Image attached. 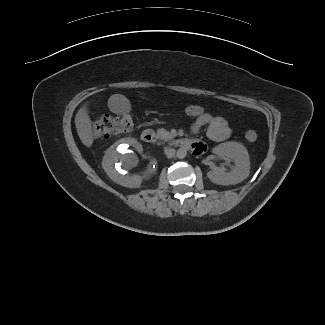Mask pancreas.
Here are the masks:
<instances>
[{
  "instance_id": "pancreas-1",
  "label": "pancreas",
  "mask_w": 325,
  "mask_h": 325,
  "mask_svg": "<svg viewBox=\"0 0 325 325\" xmlns=\"http://www.w3.org/2000/svg\"><path fill=\"white\" fill-rule=\"evenodd\" d=\"M157 135L164 141H169L170 139H172V135L164 128H159L157 130Z\"/></svg>"
}]
</instances>
